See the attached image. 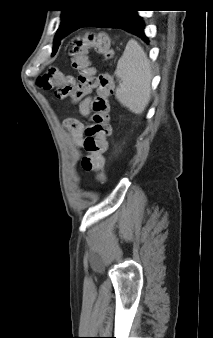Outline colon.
Here are the masks:
<instances>
[{
	"instance_id": "1",
	"label": "colon",
	"mask_w": 213,
	"mask_h": 338,
	"mask_svg": "<svg viewBox=\"0 0 213 338\" xmlns=\"http://www.w3.org/2000/svg\"><path fill=\"white\" fill-rule=\"evenodd\" d=\"M106 58L113 56V47L105 34L87 33L75 37L69 46L72 65L78 71L77 81L70 75H65L56 67H50L40 77L39 85L44 90H54L58 99L69 97L74 104H78L83 95L94 90L92 102V116L90 124L85 129L84 148L87 152L81 160L82 169L94 172L98 180L106 179V157L109 147L108 137L111 133L109 116V97L113 94V81L108 73L96 75L90 64V51ZM68 129H76L77 120L70 118L65 122Z\"/></svg>"
}]
</instances>
